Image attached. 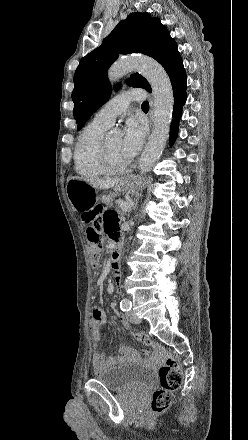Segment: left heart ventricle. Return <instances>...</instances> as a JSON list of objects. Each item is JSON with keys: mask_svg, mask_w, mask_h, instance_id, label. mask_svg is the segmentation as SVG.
<instances>
[{"mask_svg": "<svg viewBox=\"0 0 248 440\" xmlns=\"http://www.w3.org/2000/svg\"><path fill=\"white\" fill-rule=\"evenodd\" d=\"M106 139L112 161L118 166L127 164L128 161L120 151L121 138L119 136H109Z\"/></svg>", "mask_w": 248, "mask_h": 440, "instance_id": "b2bd125f", "label": "left heart ventricle"}]
</instances>
